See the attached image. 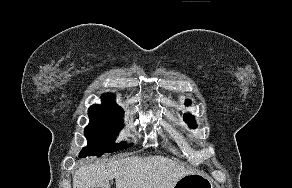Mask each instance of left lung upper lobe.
Listing matches in <instances>:
<instances>
[{
  "instance_id": "1",
  "label": "left lung upper lobe",
  "mask_w": 292,
  "mask_h": 188,
  "mask_svg": "<svg viewBox=\"0 0 292 188\" xmlns=\"http://www.w3.org/2000/svg\"><path fill=\"white\" fill-rule=\"evenodd\" d=\"M184 120H185L187 123H189L190 127H192V128L195 127L194 116L186 115V116H184Z\"/></svg>"
}]
</instances>
